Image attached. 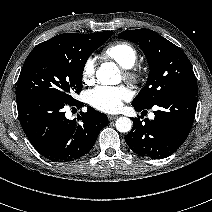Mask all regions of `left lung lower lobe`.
Instances as JSON below:
<instances>
[{
	"label": "left lung lower lobe",
	"instance_id": "left-lung-lower-lobe-1",
	"mask_svg": "<svg viewBox=\"0 0 212 212\" xmlns=\"http://www.w3.org/2000/svg\"><path fill=\"white\" fill-rule=\"evenodd\" d=\"M198 90H184L174 93L155 106V118L140 121L133 118V128L125 136V141L136 154L152 159H162L173 154L187 138L194 122ZM138 112H146L153 106L144 108L133 105Z\"/></svg>",
	"mask_w": 212,
	"mask_h": 212
}]
</instances>
